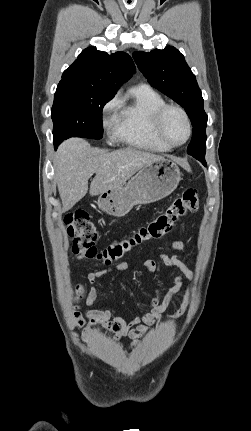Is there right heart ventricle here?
I'll use <instances>...</instances> for the list:
<instances>
[{
    "instance_id": "obj_1",
    "label": "right heart ventricle",
    "mask_w": 251,
    "mask_h": 431,
    "mask_svg": "<svg viewBox=\"0 0 251 431\" xmlns=\"http://www.w3.org/2000/svg\"><path fill=\"white\" fill-rule=\"evenodd\" d=\"M165 104L163 97L146 85L133 88L130 99L119 103L114 137L129 146L153 152H168L170 147L163 144L154 134L152 120L155 111Z\"/></svg>"
}]
</instances>
